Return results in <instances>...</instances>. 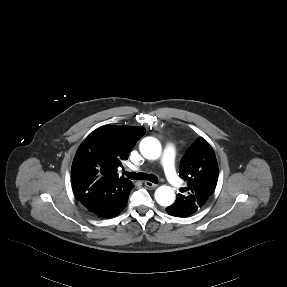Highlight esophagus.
<instances>
[{"label":"esophagus","mask_w":287,"mask_h":287,"mask_svg":"<svg viewBox=\"0 0 287 287\" xmlns=\"http://www.w3.org/2000/svg\"><path fill=\"white\" fill-rule=\"evenodd\" d=\"M144 184L149 188H156L158 186L157 184H154L150 181H145Z\"/></svg>","instance_id":"obj_1"}]
</instances>
